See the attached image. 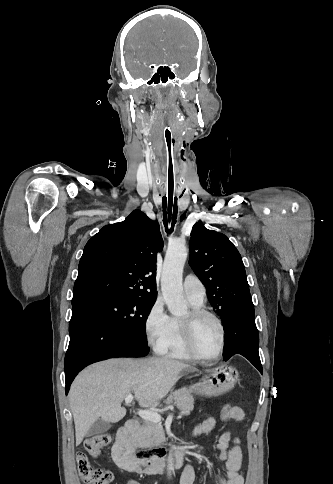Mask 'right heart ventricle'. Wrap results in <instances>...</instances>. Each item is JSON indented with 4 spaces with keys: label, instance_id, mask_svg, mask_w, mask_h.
<instances>
[{
    "label": "right heart ventricle",
    "instance_id": "right-heart-ventricle-1",
    "mask_svg": "<svg viewBox=\"0 0 333 484\" xmlns=\"http://www.w3.org/2000/svg\"><path fill=\"white\" fill-rule=\"evenodd\" d=\"M189 302L192 308L203 307V303H198L191 299H189ZM160 353L163 356H166L172 359L188 360V361L195 360V358L190 354V352L188 351L184 343L180 318L170 317L168 337Z\"/></svg>",
    "mask_w": 333,
    "mask_h": 484
}]
</instances>
